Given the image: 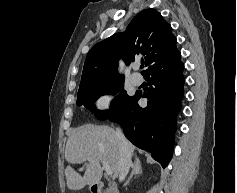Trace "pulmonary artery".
<instances>
[{"label": "pulmonary artery", "mask_w": 237, "mask_h": 193, "mask_svg": "<svg viewBox=\"0 0 237 193\" xmlns=\"http://www.w3.org/2000/svg\"><path fill=\"white\" fill-rule=\"evenodd\" d=\"M134 68H136V66ZM130 81L134 85H140L143 82V77L137 73H133L132 75H130Z\"/></svg>", "instance_id": "obj_1"}]
</instances>
